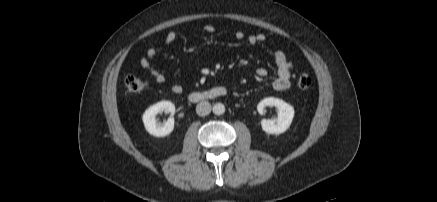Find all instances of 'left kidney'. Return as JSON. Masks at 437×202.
Listing matches in <instances>:
<instances>
[{"label": "left kidney", "instance_id": "1", "mask_svg": "<svg viewBox=\"0 0 437 202\" xmlns=\"http://www.w3.org/2000/svg\"><path fill=\"white\" fill-rule=\"evenodd\" d=\"M266 107H275L278 111L276 119H263L261 126L268 134L284 133L291 125L294 117V108L281 99L268 97L259 102L257 110L260 114L265 113Z\"/></svg>", "mask_w": 437, "mask_h": 202}]
</instances>
